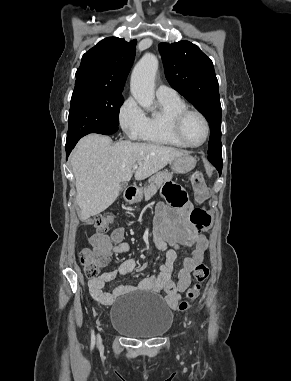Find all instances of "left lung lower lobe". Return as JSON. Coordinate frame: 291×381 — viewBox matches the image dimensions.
<instances>
[{"label": "left lung lower lobe", "mask_w": 291, "mask_h": 381, "mask_svg": "<svg viewBox=\"0 0 291 381\" xmlns=\"http://www.w3.org/2000/svg\"><path fill=\"white\" fill-rule=\"evenodd\" d=\"M208 160L217 168L219 175L222 172V157H210L208 156Z\"/></svg>", "instance_id": "obj_1"}]
</instances>
